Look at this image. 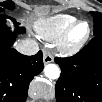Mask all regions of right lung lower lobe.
Instances as JSON below:
<instances>
[{"label": "right lung lower lobe", "instance_id": "1", "mask_svg": "<svg viewBox=\"0 0 102 102\" xmlns=\"http://www.w3.org/2000/svg\"><path fill=\"white\" fill-rule=\"evenodd\" d=\"M4 14L0 15V99L2 102H24L27 97L30 81L44 68L42 52L25 56L12 48L18 33L24 29L12 19L16 33L11 32L5 25Z\"/></svg>", "mask_w": 102, "mask_h": 102}]
</instances>
